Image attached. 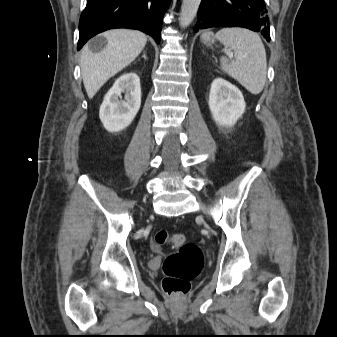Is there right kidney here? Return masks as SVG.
<instances>
[{
    "instance_id": "ca27d5eb",
    "label": "right kidney",
    "mask_w": 337,
    "mask_h": 337,
    "mask_svg": "<svg viewBox=\"0 0 337 337\" xmlns=\"http://www.w3.org/2000/svg\"><path fill=\"white\" fill-rule=\"evenodd\" d=\"M122 93H125L122 100ZM141 105L140 79L134 72L120 76L104 97L99 117L109 132H118L128 127Z\"/></svg>"
}]
</instances>
